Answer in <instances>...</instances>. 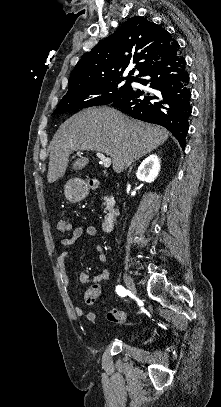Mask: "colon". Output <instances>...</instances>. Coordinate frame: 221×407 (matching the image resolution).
<instances>
[{"instance_id": "obj_1", "label": "colon", "mask_w": 221, "mask_h": 407, "mask_svg": "<svg viewBox=\"0 0 221 407\" xmlns=\"http://www.w3.org/2000/svg\"><path fill=\"white\" fill-rule=\"evenodd\" d=\"M56 229L59 233H66L70 229V224L66 217H61L57 221ZM98 299V285L92 284L86 293V304L93 305ZM107 318L116 324H121L125 318V312L120 309H108Z\"/></svg>"}]
</instances>
